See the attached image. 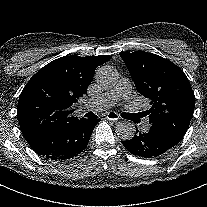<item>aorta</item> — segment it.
Instances as JSON below:
<instances>
[{"label": "aorta", "mask_w": 207, "mask_h": 207, "mask_svg": "<svg viewBox=\"0 0 207 207\" xmlns=\"http://www.w3.org/2000/svg\"><path fill=\"white\" fill-rule=\"evenodd\" d=\"M118 71L112 66H102L98 68L95 79L99 86L104 89L112 88L118 82ZM116 133L122 140H130L134 137L136 128L132 122H119L116 126Z\"/></svg>", "instance_id": "1"}]
</instances>
